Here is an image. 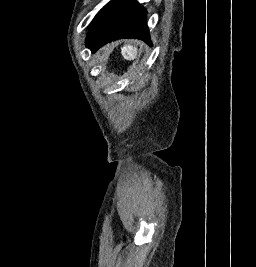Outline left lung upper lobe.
Returning <instances> with one entry per match:
<instances>
[{
    "label": "left lung upper lobe",
    "instance_id": "1",
    "mask_svg": "<svg viewBox=\"0 0 256 267\" xmlns=\"http://www.w3.org/2000/svg\"><path fill=\"white\" fill-rule=\"evenodd\" d=\"M138 38L151 44L146 10L136 0H112L96 15L86 45L96 52L113 39Z\"/></svg>",
    "mask_w": 256,
    "mask_h": 267
}]
</instances>
